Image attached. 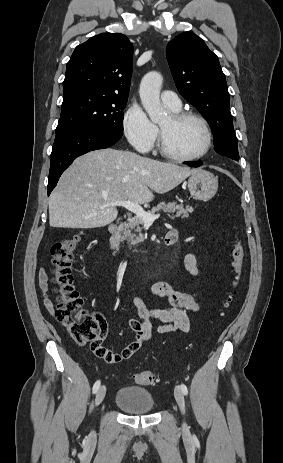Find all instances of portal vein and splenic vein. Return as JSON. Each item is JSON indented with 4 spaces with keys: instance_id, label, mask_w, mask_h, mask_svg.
<instances>
[{
    "instance_id": "1",
    "label": "portal vein and splenic vein",
    "mask_w": 283,
    "mask_h": 463,
    "mask_svg": "<svg viewBox=\"0 0 283 463\" xmlns=\"http://www.w3.org/2000/svg\"><path fill=\"white\" fill-rule=\"evenodd\" d=\"M106 206H122L128 209L129 211L136 214V216L143 220L145 224H152L160 214L154 215L146 212L139 204L131 202L130 200L115 201L107 203Z\"/></svg>"
}]
</instances>
